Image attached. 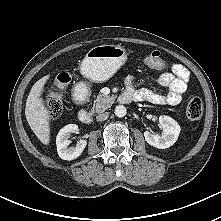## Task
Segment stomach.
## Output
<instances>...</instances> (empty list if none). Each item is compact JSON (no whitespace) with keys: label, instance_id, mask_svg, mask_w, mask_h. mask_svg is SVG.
Segmentation results:
<instances>
[{"label":"stomach","instance_id":"1","mask_svg":"<svg viewBox=\"0 0 221 221\" xmlns=\"http://www.w3.org/2000/svg\"><path fill=\"white\" fill-rule=\"evenodd\" d=\"M126 59L127 52L120 45L96 46L83 59L81 74L91 81L104 82L117 72Z\"/></svg>","mask_w":221,"mask_h":221}]
</instances>
